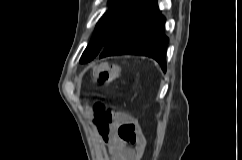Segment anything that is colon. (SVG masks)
I'll return each mask as SVG.
<instances>
[{
  "instance_id": "obj_1",
  "label": "colon",
  "mask_w": 242,
  "mask_h": 160,
  "mask_svg": "<svg viewBox=\"0 0 242 160\" xmlns=\"http://www.w3.org/2000/svg\"><path fill=\"white\" fill-rule=\"evenodd\" d=\"M93 75L97 82L107 84L120 76V68L117 65H111L105 62L99 63L93 67ZM94 111L98 122V128L100 130L106 129L112 121L110 111L101 103H96L94 105ZM134 132L135 127L132 124L125 125L122 129V135L128 141L134 140Z\"/></svg>"
}]
</instances>
